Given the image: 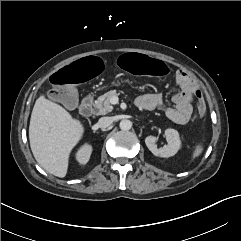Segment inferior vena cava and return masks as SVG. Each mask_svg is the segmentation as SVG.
I'll use <instances>...</instances> for the list:
<instances>
[{"instance_id": "1", "label": "inferior vena cava", "mask_w": 241, "mask_h": 241, "mask_svg": "<svg viewBox=\"0 0 241 241\" xmlns=\"http://www.w3.org/2000/svg\"><path fill=\"white\" fill-rule=\"evenodd\" d=\"M112 124V118L111 117H101L98 120L97 125L100 128H107L108 126H110Z\"/></svg>"}]
</instances>
